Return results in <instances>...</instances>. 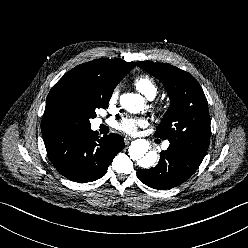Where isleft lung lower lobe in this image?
Here are the masks:
<instances>
[{
    "instance_id": "obj_1",
    "label": "left lung lower lobe",
    "mask_w": 248,
    "mask_h": 248,
    "mask_svg": "<svg viewBox=\"0 0 248 248\" xmlns=\"http://www.w3.org/2000/svg\"><path fill=\"white\" fill-rule=\"evenodd\" d=\"M202 160L203 158L170 144L166 151L160 153V160L154 168L137 170V176L151 188L171 189L190 178Z\"/></svg>"
}]
</instances>
